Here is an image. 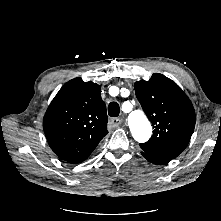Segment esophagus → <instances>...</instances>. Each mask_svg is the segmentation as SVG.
I'll return each instance as SVG.
<instances>
[{
	"instance_id": "esophagus-1",
	"label": "esophagus",
	"mask_w": 221,
	"mask_h": 221,
	"mask_svg": "<svg viewBox=\"0 0 221 221\" xmlns=\"http://www.w3.org/2000/svg\"><path fill=\"white\" fill-rule=\"evenodd\" d=\"M122 124V119L121 118H112L110 119V125L112 127H118Z\"/></svg>"
}]
</instances>
